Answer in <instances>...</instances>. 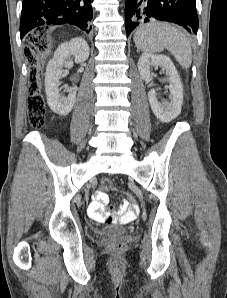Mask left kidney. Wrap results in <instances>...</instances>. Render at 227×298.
<instances>
[{"mask_svg":"<svg viewBox=\"0 0 227 298\" xmlns=\"http://www.w3.org/2000/svg\"><path fill=\"white\" fill-rule=\"evenodd\" d=\"M160 66L166 70L169 80L170 102H160L157 93L151 89L148 93L151 109L155 116L163 122H170L181 112L183 103V86L178 72L166 55H154L152 53H143L138 60V70L143 80L149 82L151 78V67Z\"/></svg>","mask_w":227,"mask_h":298,"instance_id":"left-kidney-1","label":"left kidney"}]
</instances>
